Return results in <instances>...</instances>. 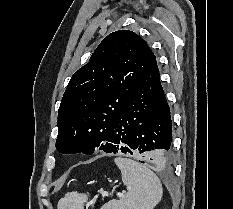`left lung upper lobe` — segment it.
Returning <instances> with one entry per match:
<instances>
[{
  "label": "left lung upper lobe",
  "mask_w": 233,
  "mask_h": 209,
  "mask_svg": "<svg viewBox=\"0 0 233 209\" xmlns=\"http://www.w3.org/2000/svg\"><path fill=\"white\" fill-rule=\"evenodd\" d=\"M155 55L129 30L110 33L72 76L58 111L56 148L63 154L101 150Z\"/></svg>",
  "instance_id": "1"
}]
</instances>
